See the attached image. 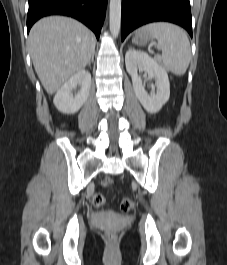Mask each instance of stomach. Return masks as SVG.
Instances as JSON below:
<instances>
[{
	"label": "stomach",
	"mask_w": 227,
	"mask_h": 265,
	"mask_svg": "<svg viewBox=\"0 0 227 265\" xmlns=\"http://www.w3.org/2000/svg\"><path fill=\"white\" fill-rule=\"evenodd\" d=\"M153 38L152 37H144V36H140L138 33L135 34L134 38H133V43L136 45H145L147 44L149 41H151Z\"/></svg>",
	"instance_id": "obj_1"
}]
</instances>
